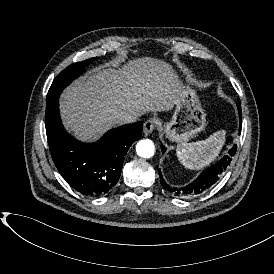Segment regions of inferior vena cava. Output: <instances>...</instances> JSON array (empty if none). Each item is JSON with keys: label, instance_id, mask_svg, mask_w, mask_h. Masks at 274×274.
Here are the masks:
<instances>
[{"label": "inferior vena cava", "instance_id": "obj_1", "mask_svg": "<svg viewBox=\"0 0 274 274\" xmlns=\"http://www.w3.org/2000/svg\"><path fill=\"white\" fill-rule=\"evenodd\" d=\"M137 120V116L131 113H122L119 119L120 124L134 123Z\"/></svg>", "mask_w": 274, "mask_h": 274}]
</instances>
